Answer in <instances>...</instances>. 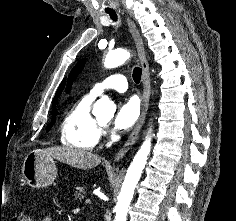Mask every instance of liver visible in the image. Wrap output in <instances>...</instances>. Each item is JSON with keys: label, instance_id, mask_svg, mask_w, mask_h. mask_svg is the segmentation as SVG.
I'll return each mask as SVG.
<instances>
[{"label": "liver", "instance_id": "obj_1", "mask_svg": "<svg viewBox=\"0 0 236 221\" xmlns=\"http://www.w3.org/2000/svg\"><path fill=\"white\" fill-rule=\"evenodd\" d=\"M43 152L59 161L83 170L96 167L101 162V157L97 154L71 146L49 147L44 149Z\"/></svg>", "mask_w": 236, "mask_h": 221}]
</instances>
